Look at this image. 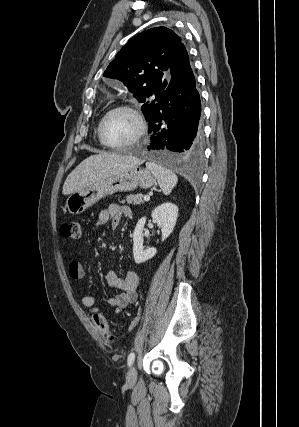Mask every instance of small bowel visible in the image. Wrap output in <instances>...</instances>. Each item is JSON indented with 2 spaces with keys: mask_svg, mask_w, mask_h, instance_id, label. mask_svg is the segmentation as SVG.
I'll return each instance as SVG.
<instances>
[{
  "mask_svg": "<svg viewBox=\"0 0 299 427\" xmlns=\"http://www.w3.org/2000/svg\"><path fill=\"white\" fill-rule=\"evenodd\" d=\"M123 217H132L130 208L123 205L111 204L97 215L96 225L101 226L111 222L116 227ZM68 273L72 279L76 281L82 280L85 277L84 263L79 260H73L69 264ZM106 280L109 286L120 290L118 294L106 300V304L114 309L113 313L116 315L137 299L140 275L137 271H129L122 278L115 273H109L106 276ZM81 301L89 312L103 313L95 306V299L92 295L84 293Z\"/></svg>",
  "mask_w": 299,
  "mask_h": 427,
  "instance_id": "small-bowel-1",
  "label": "small bowel"
}]
</instances>
